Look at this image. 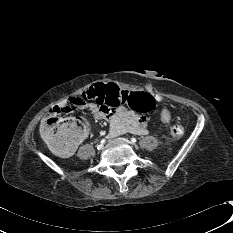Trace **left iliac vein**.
<instances>
[{
	"label": "left iliac vein",
	"mask_w": 233,
	"mask_h": 233,
	"mask_svg": "<svg viewBox=\"0 0 233 233\" xmlns=\"http://www.w3.org/2000/svg\"><path fill=\"white\" fill-rule=\"evenodd\" d=\"M121 142H123V143H126V144H129L130 142L127 140V139H125V138H120L119 139Z\"/></svg>",
	"instance_id": "4c4485c4"
}]
</instances>
